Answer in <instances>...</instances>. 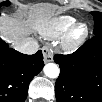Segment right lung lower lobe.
Masks as SVG:
<instances>
[{"label": "right lung lower lobe", "mask_w": 102, "mask_h": 102, "mask_svg": "<svg viewBox=\"0 0 102 102\" xmlns=\"http://www.w3.org/2000/svg\"><path fill=\"white\" fill-rule=\"evenodd\" d=\"M44 67L41 50L33 55L22 54L0 40V99L2 102H23L30 81Z\"/></svg>", "instance_id": "right-lung-lower-lobe-1"}]
</instances>
